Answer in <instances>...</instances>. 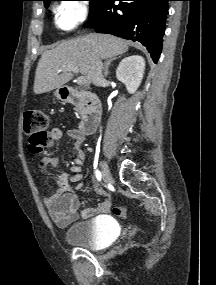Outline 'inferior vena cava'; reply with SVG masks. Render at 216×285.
<instances>
[{
  "instance_id": "obj_1",
  "label": "inferior vena cava",
  "mask_w": 216,
  "mask_h": 285,
  "mask_svg": "<svg viewBox=\"0 0 216 285\" xmlns=\"http://www.w3.org/2000/svg\"><path fill=\"white\" fill-rule=\"evenodd\" d=\"M91 74L93 84L99 86L104 78L102 75V62L97 57L92 61Z\"/></svg>"
}]
</instances>
